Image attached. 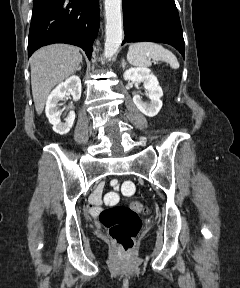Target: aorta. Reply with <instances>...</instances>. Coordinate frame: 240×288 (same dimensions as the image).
I'll return each mask as SVG.
<instances>
[{"instance_id":"obj_1","label":"aorta","mask_w":240,"mask_h":288,"mask_svg":"<svg viewBox=\"0 0 240 288\" xmlns=\"http://www.w3.org/2000/svg\"><path fill=\"white\" fill-rule=\"evenodd\" d=\"M122 0H105L106 40L104 57L110 59L118 51L122 39Z\"/></svg>"}]
</instances>
